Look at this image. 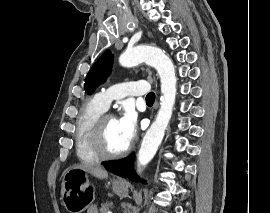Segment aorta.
<instances>
[{"mask_svg": "<svg viewBox=\"0 0 270 213\" xmlns=\"http://www.w3.org/2000/svg\"><path fill=\"white\" fill-rule=\"evenodd\" d=\"M142 62H146L157 70L162 95L155 121L143 137L138 152V166L147 165L155 156L171 119L177 91L174 65L163 50L150 46H137L127 49L119 57V63L124 67H132Z\"/></svg>", "mask_w": 270, "mask_h": 213, "instance_id": "762f6f07", "label": "aorta"}]
</instances>
